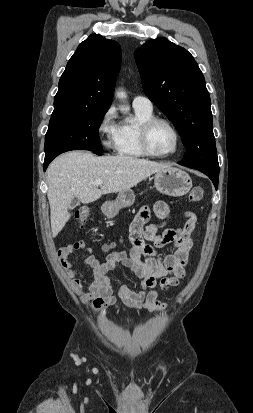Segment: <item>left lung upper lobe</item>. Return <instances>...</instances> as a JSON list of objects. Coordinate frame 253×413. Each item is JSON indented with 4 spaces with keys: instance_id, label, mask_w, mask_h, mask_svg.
Wrapping results in <instances>:
<instances>
[{
    "instance_id": "obj_1",
    "label": "left lung upper lobe",
    "mask_w": 253,
    "mask_h": 413,
    "mask_svg": "<svg viewBox=\"0 0 253 413\" xmlns=\"http://www.w3.org/2000/svg\"><path fill=\"white\" fill-rule=\"evenodd\" d=\"M144 92L173 122L186 153L179 163L219 171L210 95L193 56L159 37L134 53Z\"/></svg>"
}]
</instances>
